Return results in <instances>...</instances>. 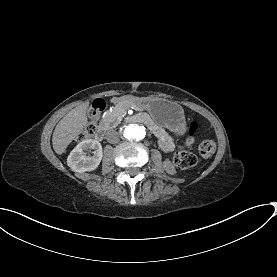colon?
<instances>
[{
	"mask_svg": "<svg viewBox=\"0 0 277 277\" xmlns=\"http://www.w3.org/2000/svg\"><path fill=\"white\" fill-rule=\"evenodd\" d=\"M106 103L103 99L95 100L88 109V118L86 122V131L89 134H94L98 130V122L104 113ZM200 126L198 122H193L190 126V132L195 136L199 132ZM188 149L180 148L174 158V163L181 169H188L193 167L197 162V157L194 152L190 151L192 143L188 141ZM200 154L206 158L211 157L215 151V143L211 140H205L199 145Z\"/></svg>",
	"mask_w": 277,
	"mask_h": 277,
	"instance_id": "1",
	"label": "colon"
}]
</instances>
